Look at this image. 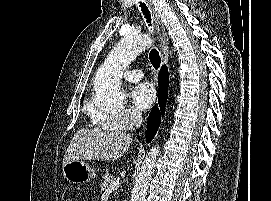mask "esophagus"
I'll return each instance as SVG.
<instances>
[{
  "mask_svg": "<svg viewBox=\"0 0 271 201\" xmlns=\"http://www.w3.org/2000/svg\"><path fill=\"white\" fill-rule=\"evenodd\" d=\"M149 6L151 7V0H146ZM154 16H155V23L156 28L159 34V41L161 45L160 55H161V61L163 64L167 63L168 61V52H169V37L167 35V32L165 30L164 24L162 23L160 17L158 14L153 10Z\"/></svg>",
  "mask_w": 271,
  "mask_h": 201,
  "instance_id": "34e87169",
  "label": "esophagus"
}]
</instances>
